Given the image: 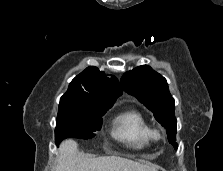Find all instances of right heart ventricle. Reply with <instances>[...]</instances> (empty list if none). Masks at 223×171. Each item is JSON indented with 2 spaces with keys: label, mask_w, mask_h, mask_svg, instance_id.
I'll list each match as a JSON object with an SVG mask.
<instances>
[{
  "label": "right heart ventricle",
  "mask_w": 223,
  "mask_h": 171,
  "mask_svg": "<svg viewBox=\"0 0 223 171\" xmlns=\"http://www.w3.org/2000/svg\"><path fill=\"white\" fill-rule=\"evenodd\" d=\"M112 124V136L130 148L143 149L152 141L150 124L142 113L135 109L117 114Z\"/></svg>",
  "instance_id": "obj_1"
}]
</instances>
